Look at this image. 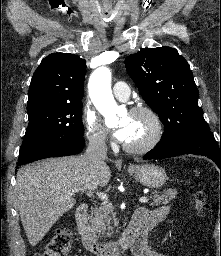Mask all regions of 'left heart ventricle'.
I'll list each match as a JSON object with an SVG mask.
<instances>
[{"label": "left heart ventricle", "instance_id": "left-heart-ventricle-1", "mask_svg": "<svg viewBox=\"0 0 221 256\" xmlns=\"http://www.w3.org/2000/svg\"><path fill=\"white\" fill-rule=\"evenodd\" d=\"M120 124L130 125L131 131L126 143L131 145H138L145 142L153 131L152 123L145 115H127L122 118Z\"/></svg>", "mask_w": 221, "mask_h": 256}]
</instances>
